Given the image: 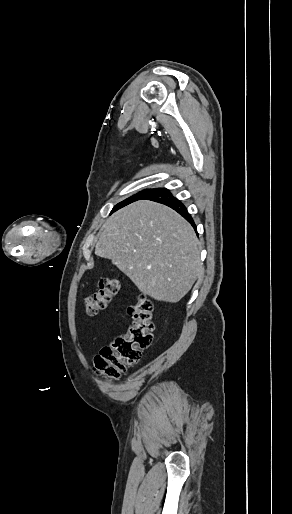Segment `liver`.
I'll list each match as a JSON object with an SVG mask.
<instances>
[{"mask_svg":"<svg viewBox=\"0 0 292 514\" xmlns=\"http://www.w3.org/2000/svg\"><path fill=\"white\" fill-rule=\"evenodd\" d=\"M200 246L177 212L140 200L106 220L95 254L112 260L142 294L175 304L202 274Z\"/></svg>","mask_w":292,"mask_h":514,"instance_id":"6515ba94","label":"liver"}]
</instances>
